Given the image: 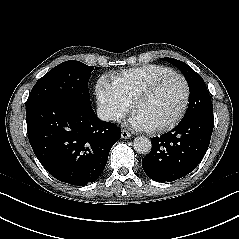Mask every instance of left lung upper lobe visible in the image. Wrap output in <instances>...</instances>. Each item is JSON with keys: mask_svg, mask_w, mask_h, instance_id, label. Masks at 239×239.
Returning <instances> with one entry per match:
<instances>
[{"mask_svg": "<svg viewBox=\"0 0 239 239\" xmlns=\"http://www.w3.org/2000/svg\"><path fill=\"white\" fill-rule=\"evenodd\" d=\"M165 60L179 68L189 85V106L182 120L201 113H213L212 101L202 77L180 60L167 57Z\"/></svg>", "mask_w": 239, "mask_h": 239, "instance_id": "5c2ea615", "label": "left lung upper lobe"}]
</instances>
